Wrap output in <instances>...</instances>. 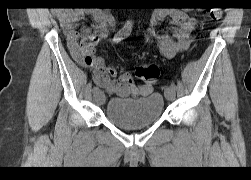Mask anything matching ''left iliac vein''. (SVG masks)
<instances>
[{
	"mask_svg": "<svg viewBox=\"0 0 251 180\" xmlns=\"http://www.w3.org/2000/svg\"><path fill=\"white\" fill-rule=\"evenodd\" d=\"M165 97L169 101H173L175 99V90L171 87H167L165 89Z\"/></svg>",
	"mask_w": 251,
	"mask_h": 180,
	"instance_id": "left-iliac-vein-1",
	"label": "left iliac vein"
}]
</instances>
